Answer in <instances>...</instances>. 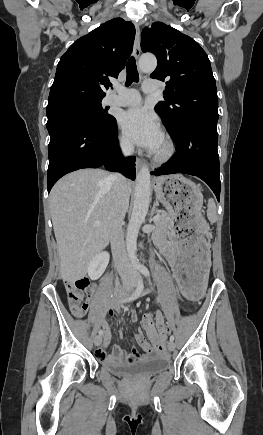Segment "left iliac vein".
<instances>
[{"mask_svg": "<svg viewBox=\"0 0 263 435\" xmlns=\"http://www.w3.org/2000/svg\"><path fill=\"white\" fill-rule=\"evenodd\" d=\"M168 350L173 351L175 349V343L173 341H170L167 345Z\"/></svg>", "mask_w": 263, "mask_h": 435, "instance_id": "left-iliac-vein-1", "label": "left iliac vein"}]
</instances>
